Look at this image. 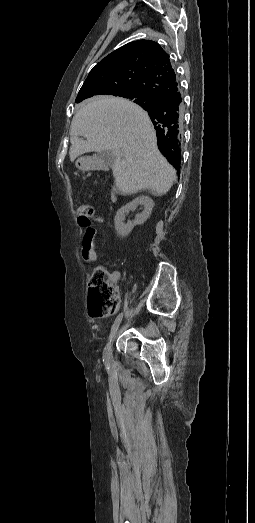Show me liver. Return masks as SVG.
I'll use <instances>...</instances> for the list:
<instances>
[{"instance_id": "1", "label": "liver", "mask_w": 255, "mask_h": 523, "mask_svg": "<svg viewBox=\"0 0 255 523\" xmlns=\"http://www.w3.org/2000/svg\"><path fill=\"white\" fill-rule=\"evenodd\" d=\"M70 142L71 162L87 152H113L112 172L123 194L148 188L164 196L173 186L175 170L157 148L147 112L129 100L113 96L86 100L72 120Z\"/></svg>"}]
</instances>
